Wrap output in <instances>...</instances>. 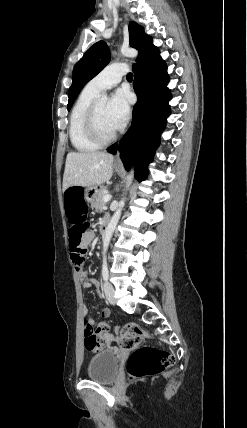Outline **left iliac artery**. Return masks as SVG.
<instances>
[{
  "mask_svg": "<svg viewBox=\"0 0 247 428\" xmlns=\"http://www.w3.org/2000/svg\"><path fill=\"white\" fill-rule=\"evenodd\" d=\"M102 277L105 281H107V279H108V266H107L106 258H104V260H103Z\"/></svg>",
  "mask_w": 247,
  "mask_h": 428,
  "instance_id": "left-iliac-artery-1",
  "label": "left iliac artery"
}]
</instances>
